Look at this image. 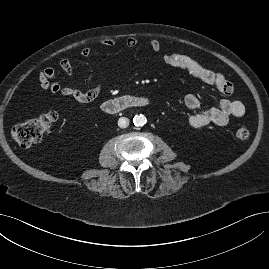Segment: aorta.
<instances>
[{"instance_id":"762f6f07","label":"aorta","mask_w":269,"mask_h":269,"mask_svg":"<svg viewBox=\"0 0 269 269\" xmlns=\"http://www.w3.org/2000/svg\"><path fill=\"white\" fill-rule=\"evenodd\" d=\"M147 119L144 115L139 114V115H135L133 118V123L135 126L137 127H142L146 124Z\"/></svg>"}]
</instances>
